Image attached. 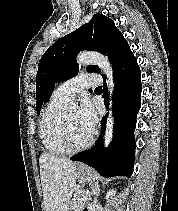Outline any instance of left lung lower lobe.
I'll list each match as a JSON object with an SVG mask.
<instances>
[{"instance_id":"obj_1","label":"left lung lower lobe","mask_w":178,"mask_h":211,"mask_svg":"<svg viewBox=\"0 0 178 211\" xmlns=\"http://www.w3.org/2000/svg\"><path fill=\"white\" fill-rule=\"evenodd\" d=\"M113 74L115 82L113 94L114 138L109 148L104 150L103 136L107 119L105 116L101 121L102 132L96 146L74 155L71 160L81 161L95 168L104 177H130L135 161L134 129L136 115L141 106L142 91L141 72L131 50L113 68ZM103 78L105 80L104 76ZM103 89L104 104L108 109V91L105 83ZM104 151H107L105 155H103Z\"/></svg>"}]
</instances>
